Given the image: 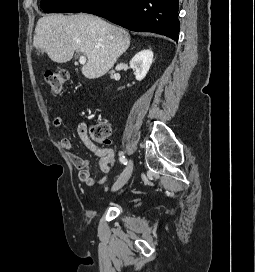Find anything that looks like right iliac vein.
Instances as JSON below:
<instances>
[{
    "label": "right iliac vein",
    "mask_w": 255,
    "mask_h": 272,
    "mask_svg": "<svg viewBox=\"0 0 255 272\" xmlns=\"http://www.w3.org/2000/svg\"><path fill=\"white\" fill-rule=\"evenodd\" d=\"M132 170H133V162L130 161L128 166L124 169V171L122 172L120 177L114 183L113 188H112L113 191L120 189L121 187H123L126 184V182L129 180V178L131 176Z\"/></svg>",
    "instance_id": "1"
}]
</instances>
